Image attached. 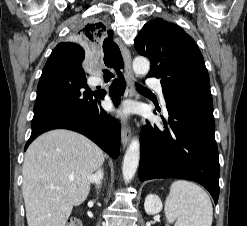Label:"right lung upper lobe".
Masks as SVG:
<instances>
[{"label": "right lung upper lobe", "instance_id": "right-lung-upper-lobe-1", "mask_svg": "<svg viewBox=\"0 0 247 226\" xmlns=\"http://www.w3.org/2000/svg\"><path fill=\"white\" fill-rule=\"evenodd\" d=\"M75 37L88 45H103L106 66L112 67L116 71L123 67L120 50L112 41V32L102 22H92L85 25L75 34Z\"/></svg>", "mask_w": 247, "mask_h": 226}]
</instances>
